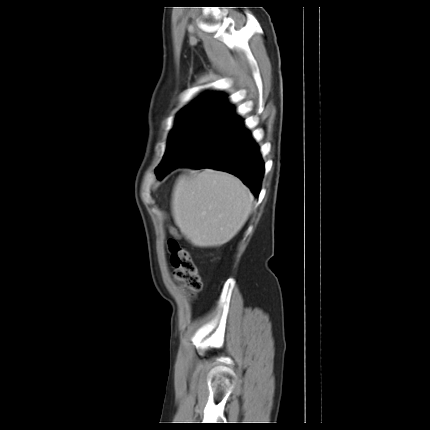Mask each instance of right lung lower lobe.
<instances>
[{
  "instance_id": "98d812e1",
  "label": "right lung lower lobe",
  "mask_w": 430,
  "mask_h": 430,
  "mask_svg": "<svg viewBox=\"0 0 430 430\" xmlns=\"http://www.w3.org/2000/svg\"><path fill=\"white\" fill-rule=\"evenodd\" d=\"M181 166L213 168L231 173L240 178L256 197L264 174L259 148L242 121Z\"/></svg>"
}]
</instances>
